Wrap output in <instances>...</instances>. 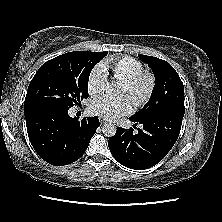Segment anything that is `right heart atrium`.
<instances>
[{
  "label": "right heart atrium",
  "instance_id": "1",
  "mask_svg": "<svg viewBox=\"0 0 222 222\" xmlns=\"http://www.w3.org/2000/svg\"><path fill=\"white\" fill-rule=\"evenodd\" d=\"M107 83V73L102 65L95 66L89 74L87 88L91 95L102 92Z\"/></svg>",
  "mask_w": 222,
  "mask_h": 222
}]
</instances>
